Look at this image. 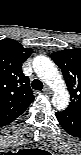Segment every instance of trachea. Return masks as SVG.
<instances>
[{
    "label": "trachea",
    "mask_w": 81,
    "mask_h": 155,
    "mask_svg": "<svg viewBox=\"0 0 81 155\" xmlns=\"http://www.w3.org/2000/svg\"><path fill=\"white\" fill-rule=\"evenodd\" d=\"M32 87H33V89L41 90L43 85L39 80L36 79V80L33 81Z\"/></svg>",
    "instance_id": "trachea-1"
}]
</instances>
